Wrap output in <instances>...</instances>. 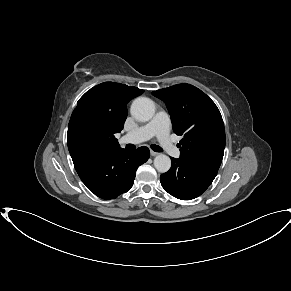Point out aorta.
<instances>
[{
  "instance_id": "762f6f07",
  "label": "aorta",
  "mask_w": 291,
  "mask_h": 291,
  "mask_svg": "<svg viewBox=\"0 0 291 291\" xmlns=\"http://www.w3.org/2000/svg\"><path fill=\"white\" fill-rule=\"evenodd\" d=\"M131 115L138 121H149L155 114L154 102L147 97L136 98L130 108ZM154 167L160 173L167 172L171 167V159L164 154L154 158Z\"/></svg>"
}]
</instances>
